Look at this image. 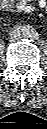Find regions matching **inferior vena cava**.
I'll list each match as a JSON object with an SVG mask.
<instances>
[{
  "label": "inferior vena cava",
  "mask_w": 47,
  "mask_h": 129,
  "mask_svg": "<svg viewBox=\"0 0 47 129\" xmlns=\"http://www.w3.org/2000/svg\"><path fill=\"white\" fill-rule=\"evenodd\" d=\"M11 37L14 39H18L20 36L15 32H11Z\"/></svg>",
  "instance_id": "1"
}]
</instances>
